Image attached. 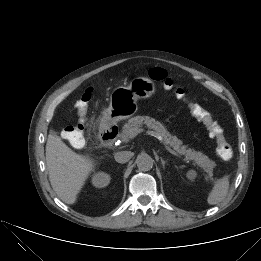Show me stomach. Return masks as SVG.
I'll use <instances>...</instances> for the list:
<instances>
[{
  "instance_id": "stomach-1",
  "label": "stomach",
  "mask_w": 261,
  "mask_h": 261,
  "mask_svg": "<svg viewBox=\"0 0 261 261\" xmlns=\"http://www.w3.org/2000/svg\"><path fill=\"white\" fill-rule=\"evenodd\" d=\"M155 91L154 82L146 77L135 78L126 87L115 88L108 108L102 112L101 123L110 126L131 117L138 110L137 101L150 98Z\"/></svg>"
}]
</instances>
